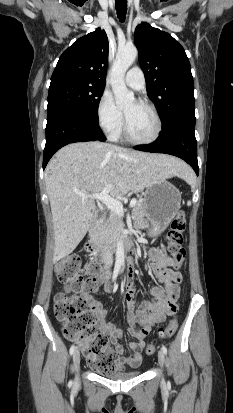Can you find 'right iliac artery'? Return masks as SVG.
<instances>
[{
  "label": "right iliac artery",
  "mask_w": 233,
  "mask_h": 413,
  "mask_svg": "<svg viewBox=\"0 0 233 413\" xmlns=\"http://www.w3.org/2000/svg\"><path fill=\"white\" fill-rule=\"evenodd\" d=\"M119 271H120V265H115L114 273H113V280L116 279ZM75 349H76L75 345H72L70 348V355L74 353ZM69 385H72V381L69 382Z\"/></svg>",
  "instance_id": "right-iliac-artery-1"
}]
</instances>
